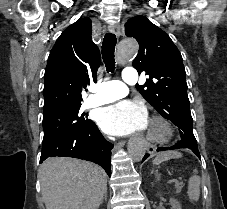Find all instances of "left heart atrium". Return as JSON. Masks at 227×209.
Returning <instances> with one entry per match:
<instances>
[{
  "label": "left heart atrium",
  "mask_w": 227,
  "mask_h": 209,
  "mask_svg": "<svg viewBox=\"0 0 227 209\" xmlns=\"http://www.w3.org/2000/svg\"><path fill=\"white\" fill-rule=\"evenodd\" d=\"M97 123L107 134L128 136L147 127V108L141 99L120 100L102 108Z\"/></svg>",
  "instance_id": "39dd6f15"
}]
</instances>
